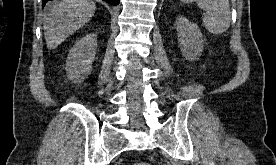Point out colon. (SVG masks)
<instances>
[{"instance_id": "5ec220e1", "label": "colon", "mask_w": 276, "mask_h": 165, "mask_svg": "<svg viewBox=\"0 0 276 165\" xmlns=\"http://www.w3.org/2000/svg\"><path fill=\"white\" fill-rule=\"evenodd\" d=\"M133 165H150V164L145 161H138V162L134 163Z\"/></svg>"}]
</instances>
